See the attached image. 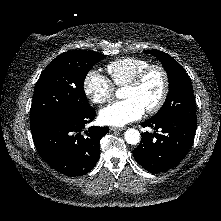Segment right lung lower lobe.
<instances>
[{
    "label": "right lung lower lobe",
    "mask_w": 221,
    "mask_h": 221,
    "mask_svg": "<svg viewBox=\"0 0 221 221\" xmlns=\"http://www.w3.org/2000/svg\"><path fill=\"white\" fill-rule=\"evenodd\" d=\"M96 116L93 108L81 113L54 115L31 128L35 147L44 161L56 171L67 175H84L97 163L99 141L108 127H89L85 135L81 130Z\"/></svg>",
    "instance_id": "1"
}]
</instances>
